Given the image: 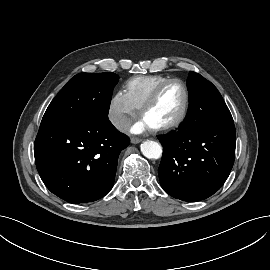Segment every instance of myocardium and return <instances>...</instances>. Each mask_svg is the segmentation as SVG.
Instances as JSON below:
<instances>
[{
	"instance_id": "1",
	"label": "myocardium",
	"mask_w": 270,
	"mask_h": 270,
	"mask_svg": "<svg viewBox=\"0 0 270 270\" xmlns=\"http://www.w3.org/2000/svg\"><path fill=\"white\" fill-rule=\"evenodd\" d=\"M172 83H179L180 85H182V87L184 89V102H183V105L181 107V110L174 118H172L170 121H168L164 124L152 127V129L156 132L168 131V130H171V129L178 127L179 125H181L184 122V120L187 117L188 111H189L190 91H189L187 84L182 79L170 78V79L160 83L159 85H157L155 87V89L151 92V94L148 96V98L144 101V103L140 107L139 115L141 117H143V115L156 102V100L158 99V97L161 94V92L163 91V89H165L168 85H170Z\"/></svg>"
}]
</instances>
